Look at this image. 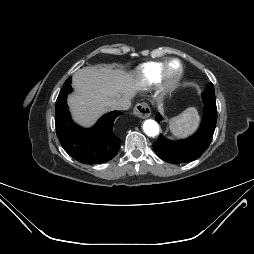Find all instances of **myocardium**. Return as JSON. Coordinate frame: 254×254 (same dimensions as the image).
<instances>
[{
  "label": "myocardium",
  "instance_id": "obj_1",
  "mask_svg": "<svg viewBox=\"0 0 254 254\" xmlns=\"http://www.w3.org/2000/svg\"><path fill=\"white\" fill-rule=\"evenodd\" d=\"M173 64L178 65L177 72L174 74L171 73V66ZM183 74L184 67L178 59L173 58L168 60L165 63L160 76V87L162 91L165 93H169L175 90L178 87L180 81L182 80Z\"/></svg>",
  "mask_w": 254,
  "mask_h": 254
}]
</instances>
